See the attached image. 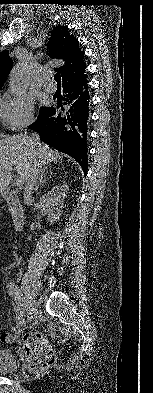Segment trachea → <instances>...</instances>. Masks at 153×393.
<instances>
[{"label":"trachea","instance_id":"3493384b","mask_svg":"<svg viewBox=\"0 0 153 393\" xmlns=\"http://www.w3.org/2000/svg\"><path fill=\"white\" fill-rule=\"evenodd\" d=\"M54 79L57 81V83H60V82H61L60 73H59V72H57V73L55 74Z\"/></svg>","mask_w":153,"mask_h":393}]
</instances>
